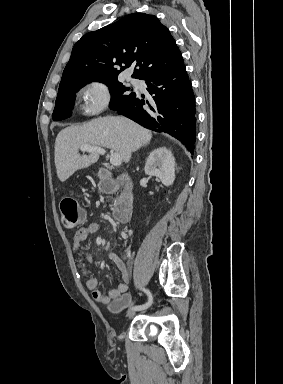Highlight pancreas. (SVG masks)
Instances as JSON below:
<instances>
[{
    "label": "pancreas",
    "mask_w": 283,
    "mask_h": 384,
    "mask_svg": "<svg viewBox=\"0 0 283 384\" xmlns=\"http://www.w3.org/2000/svg\"><path fill=\"white\" fill-rule=\"evenodd\" d=\"M106 176L108 178V176H111V172H106Z\"/></svg>",
    "instance_id": "1"
}]
</instances>
